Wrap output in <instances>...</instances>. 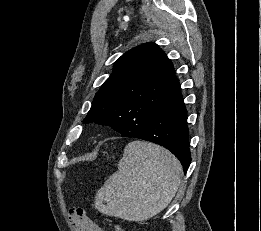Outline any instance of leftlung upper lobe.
Listing matches in <instances>:
<instances>
[{"mask_svg": "<svg viewBox=\"0 0 261 231\" xmlns=\"http://www.w3.org/2000/svg\"><path fill=\"white\" fill-rule=\"evenodd\" d=\"M180 94L166 54L155 43L141 44L115 62L84 122L110 125L120 134L141 133Z\"/></svg>", "mask_w": 261, "mask_h": 231, "instance_id": "left-lung-upper-lobe-1", "label": "left lung upper lobe"}]
</instances>
